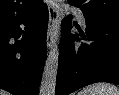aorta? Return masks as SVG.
<instances>
[{
    "label": "aorta",
    "mask_w": 119,
    "mask_h": 95,
    "mask_svg": "<svg viewBox=\"0 0 119 95\" xmlns=\"http://www.w3.org/2000/svg\"><path fill=\"white\" fill-rule=\"evenodd\" d=\"M58 1L63 2V0ZM58 63H59V47L57 44H55L49 51V54L45 62L40 85V95H55Z\"/></svg>",
    "instance_id": "obj_1"
}]
</instances>
